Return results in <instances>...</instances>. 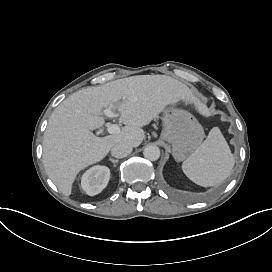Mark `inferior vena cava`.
<instances>
[{
	"label": "inferior vena cava",
	"mask_w": 272,
	"mask_h": 272,
	"mask_svg": "<svg viewBox=\"0 0 272 272\" xmlns=\"http://www.w3.org/2000/svg\"><path fill=\"white\" fill-rule=\"evenodd\" d=\"M131 152L132 146L125 143H117L111 149L112 156H114L115 158H125Z\"/></svg>",
	"instance_id": "inferior-vena-cava-1"
}]
</instances>
